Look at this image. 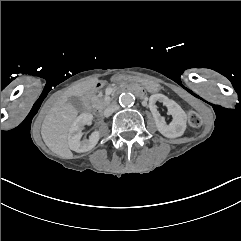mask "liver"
I'll return each mask as SVG.
<instances>
[{
	"label": "liver",
	"mask_w": 241,
	"mask_h": 241,
	"mask_svg": "<svg viewBox=\"0 0 241 241\" xmlns=\"http://www.w3.org/2000/svg\"><path fill=\"white\" fill-rule=\"evenodd\" d=\"M97 78L85 80L67 90L50 108L41 127V135L48 146L57 155L70 159L73 157L68 147L67 137L70 126L75 120L78 111L68 102L71 96L81 97L95 88Z\"/></svg>",
	"instance_id": "obj_1"
}]
</instances>
